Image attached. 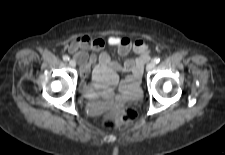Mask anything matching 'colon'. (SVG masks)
<instances>
[{
    "label": "colon",
    "instance_id": "5ec220e1",
    "mask_svg": "<svg viewBox=\"0 0 225 155\" xmlns=\"http://www.w3.org/2000/svg\"><path fill=\"white\" fill-rule=\"evenodd\" d=\"M136 117L137 112L134 108L125 107L106 112L102 117V123L107 128H115L123 123L134 121Z\"/></svg>",
    "mask_w": 225,
    "mask_h": 155
}]
</instances>
